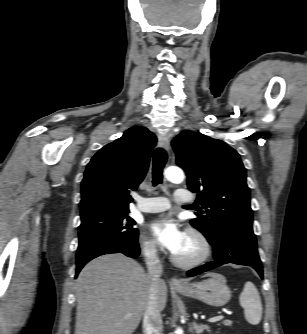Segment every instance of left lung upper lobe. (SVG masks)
Segmentation results:
<instances>
[{
    "mask_svg": "<svg viewBox=\"0 0 307 334\" xmlns=\"http://www.w3.org/2000/svg\"><path fill=\"white\" fill-rule=\"evenodd\" d=\"M176 163L187 174L189 190L202 199L205 215L190 223L212 239L227 223L252 226L253 211L240 155L225 142L201 133L182 131L172 140Z\"/></svg>",
    "mask_w": 307,
    "mask_h": 334,
    "instance_id": "left-lung-upper-lobe-1",
    "label": "left lung upper lobe"
}]
</instances>
